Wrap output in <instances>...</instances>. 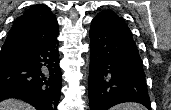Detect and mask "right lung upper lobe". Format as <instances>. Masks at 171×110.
Here are the masks:
<instances>
[{
    "label": "right lung upper lobe",
    "instance_id": "1",
    "mask_svg": "<svg viewBox=\"0 0 171 110\" xmlns=\"http://www.w3.org/2000/svg\"><path fill=\"white\" fill-rule=\"evenodd\" d=\"M58 33L57 19L48 6H33L17 17L1 49V56L24 54L52 40Z\"/></svg>",
    "mask_w": 171,
    "mask_h": 110
}]
</instances>
